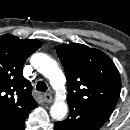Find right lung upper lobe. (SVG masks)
Instances as JSON below:
<instances>
[{
    "label": "right lung upper lobe",
    "instance_id": "right-lung-upper-lobe-1",
    "mask_svg": "<svg viewBox=\"0 0 130 130\" xmlns=\"http://www.w3.org/2000/svg\"><path fill=\"white\" fill-rule=\"evenodd\" d=\"M41 46L39 40L19 39L11 34L0 36V130L19 123L37 107L22 68Z\"/></svg>",
    "mask_w": 130,
    "mask_h": 130
}]
</instances>
